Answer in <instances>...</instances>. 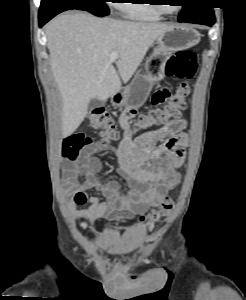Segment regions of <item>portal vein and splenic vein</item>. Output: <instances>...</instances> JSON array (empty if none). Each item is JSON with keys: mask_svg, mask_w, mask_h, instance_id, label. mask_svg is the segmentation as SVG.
Segmentation results:
<instances>
[{"mask_svg": "<svg viewBox=\"0 0 246 300\" xmlns=\"http://www.w3.org/2000/svg\"><path fill=\"white\" fill-rule=\"evenodd\" d=\"M118 52L114 51L110 54V61L114 62L116 59H118Z\"/></svg>", "mask_w": 246, "mask_h": 300, "instance_id": "1", "label": "portal vein and splenic vein"}]
</instances>
